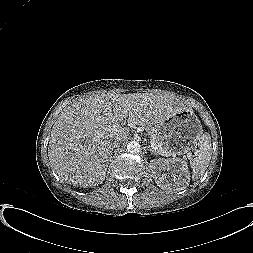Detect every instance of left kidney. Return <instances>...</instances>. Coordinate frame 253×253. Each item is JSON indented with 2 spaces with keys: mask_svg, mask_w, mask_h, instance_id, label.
Returning a JSON list of instances; mask_svg holds the SVG:
<instances>
[{
  "mask_svg": "<svg viewBox=\"0 0 253 253\" xmlns=\"http://www.w3.org/2000/svg\"><path fill=\"white\" fill-rule=\"evenodd\" d=\"M151 162L154 178L159 187L180 191L188 186L190 173L186 162L175 159H158ZM166 169L171 171L169 179L162 173Z\"/></svg>",
  "mask_w": 253,
  "mask_h": 253,
  "instance_id": "1",
  "label": "left kidney"
}]
</instances>
